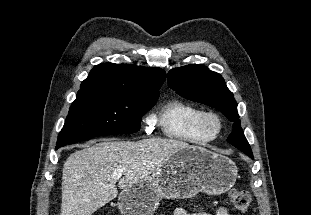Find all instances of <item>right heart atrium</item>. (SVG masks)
I'll use <instances>...</instances> for the list:
<instances>
[{"instance_id": "1", "label": "right heart atrium", "mask_w": 311, "mask_h": 215, "mask_svg": "<svg viewBox=\"0 0 311 215\" xmlns=\"http://www.w3.org/2000/svg\"><path fill=\"white\" fill-rule=\"evenodd\" d=\"M154 118L152 117V116H149V117H147L146 118V123L148 124V125H153L154 124Z\"/></svg>"}]
</instances>
